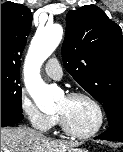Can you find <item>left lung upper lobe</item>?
<instances>
[{"instance_id": "1", "label": "left lung upper lobe", "mask_w": 123, "mask_h": 152, "mask_svg": "<svg viewBox=\"0 0 123 152\" xmlns=\"http://www.w3.org/2000/svg\"><path fill=\"white\" fill-rule=\"evenodd\" d=\"M121 28L95 5L66 16L62 57L66 70L106 111L109 125L123 115Z\"/></svg>"}]
</instances>
